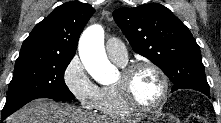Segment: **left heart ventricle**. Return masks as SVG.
Here are the masks:
<instances>
[{
  "label": "left heart ventricle",
  "instance_id": "left-heart-ventricle-1",
  "mask_svg": "<svg viewBox=\"0 0 221 123\" xmlns=\"http://www.w3.org/2000/svg\"><path fill=\"white\" fill-rule=\"evenodd\" d=\"M120 81L121 74L117 83ZM130 89L137 102L146 106L153 105L158 101L162 93L161 79L154 70L142 68L131 77Z\"/></svg>",
  "mask_w": 221,
  "mask_h": 123
}]
</instances>
